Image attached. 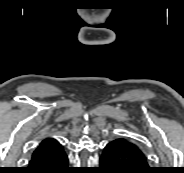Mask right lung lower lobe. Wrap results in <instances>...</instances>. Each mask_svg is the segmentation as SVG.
Masks as SVG:
<instances>
[{
    "mask_svg": "<svg viewBox=\"0 0 184 173\" xmlns=\"http://www.w3.org/2000/svg\"><path fill=\"white\" fill-rule=\"evenodd\" d=\"M25 173H72L62 146L44 154L33 155Z\"/></svg>",
    "mask_w": 184,
    "mask_h": 173,
    "instance_id": "obj_1",
    "label": "right lung lower lobe"
}]
</instances>
